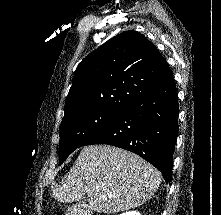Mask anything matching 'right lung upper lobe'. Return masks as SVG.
<instances>
[{"label": "right lung upper lobe", "mask_w": 221, "mask_h": 215, "mask_svg": "<svg viewBox=\"0 0 221 215\" xmlns=\"http://www.w3.org/2000/svg\"><path fill=\"white\" fill-rule=\"evenodd\" d=\"M172 76L158 49L137 31L123 32L78 65L65 103V116L88 109L121 113Z\"/></svg>", "instance_id": "right-lung-upper-lobe-1"}]
</instances>
